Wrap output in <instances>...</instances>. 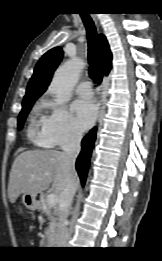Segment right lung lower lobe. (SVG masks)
Returning <instances> with one entry per match:
<instances>
[{
	"label": "right lung lower lobe",
	"mask_w": 162,
	"mask_h": 261,
	"mask_svg": "<svg viewBox=\"0 0 162 261\" xmlns=\"http://www.w3.org/2000/svg\"><path fill=\"white\" fill-rule=\"evenodd\" d=\"M96 139V128H93L82 140V150L76 161V170L78 171L82 185H84L88 168L89 161Z\"/></svg>",
	"instance_id": "obj_1"
}]
</instances>
